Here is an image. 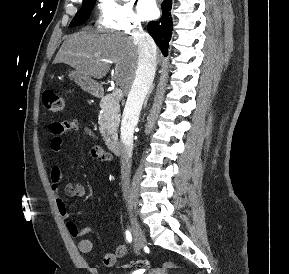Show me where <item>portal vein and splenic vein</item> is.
Instances as JSON below:
<instances>
[{"label":"portal vein and splenic vein","mask_w":289,"mask_h":274,"mask_svg":"<svg viewBox=\"0 0 289 274\" xmlns=\"http://www.w3.org/2000/svg\"><path fill=\"white\" fill-rule=\"evenodd\" d=\"M113 96L117 99H121L123 97V92H122V89L121 88H116L114 91H113Z\"/></svg>","instance_id":"18ae733b"}]
</instances>
